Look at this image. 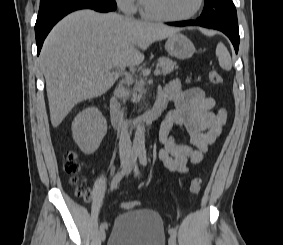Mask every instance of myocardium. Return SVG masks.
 I'll list each match as a JSON object with an SVG mask.
<instances>
[{
	"mask_svg": "<svg viewBox=\"0 0 283 245\" xmlns=\"http://www.w3.org/2000/svg\"><path fill=\"white\" fill-rule=\"evenodd\" d=\"M204 2L205 0H197L196 7L190 13L179 17H168L153 13L150 10H148V8L144 3V0H140V6H141L142 15L147 19L160 21V22H182V21L190 20L193 17H195L203 8Z\"/></svg>",
	"mask_w": 283,
	"mask_h": 245,
	"instance_id": "1",
	"label": "myocardium"
}]
</instances>
